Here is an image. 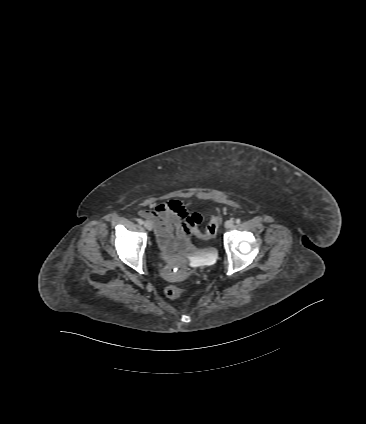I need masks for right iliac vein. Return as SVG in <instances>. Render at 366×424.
Returning <instances> with one entry per match:
<instances>
[{
  "instance_id": "63e3f726",
  "label": "right iliac vein",
  "mask_w": 366,
  "mask_h": 424,
  "mask_svg": "<svg viewBox=\"0 0 366 424\" xmlns=\"http://www.w3.org/2000/svg\"><path fill=\"white\" fill-rule=\"evenodd\" d=\"M144 226H145V228H146L147 230H152V228H153V225H152V223H151L150 221H146V222L144 223Z\"/></svg>"
}]
</instances>
